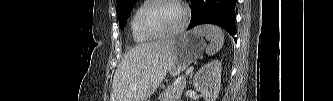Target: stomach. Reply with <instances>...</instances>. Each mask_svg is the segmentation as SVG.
<instances>
[{"label": "stomach", "instance_id": "1", "mask_svg": "<svg viewBox=\"0 0 333 101\" xmlns=\"http://www.w3.org/2000/svg\"><path fill=\"white\" fill-rule=\"evenodd\" d=\"M206 44L203 37L194 30L173 40L168 71L171 76L180 75L203 53Z\"/></svg>", "mask_w": 333, "mask_h": 101}]
</instances>
